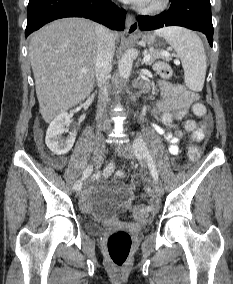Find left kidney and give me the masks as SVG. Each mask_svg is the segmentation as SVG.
Segmentation results:
<instances>
[{"instance_id":"5707ae66","label":"left kidney","mask_w":233,"mask_h":284,"mask_svg":"<svg viewBox=\"0 0 233 284\" xmlns=\"http://www.w3.org/2000/svg\"><path fill=\"white\" fill-rule=\"evenodd\" d=\"M162 122L165 124V125H168L170 126V123L172 122V115L169 114V113H164L162 115Z\"/></svg>"}]
</instances>
